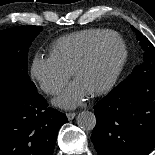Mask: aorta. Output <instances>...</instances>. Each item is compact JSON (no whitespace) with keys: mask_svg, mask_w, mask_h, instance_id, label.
I'll return each instance as SVG.
<instances>
[{"mask_svg":"<svg viewBox=\"0 0 155 155\" xmlns=\"http://www.w3.org/2000/svg\"><path fill=\"white\" fill-rule=\"evenodd\" d=\"M76 122L81 129L92 130L96 125V117L91 111H82L78 114Z\"/></svg>","mask_w":155,"mask_h":155,"instance_id":"aorta-1","label":"aorta"}]
</instances>
